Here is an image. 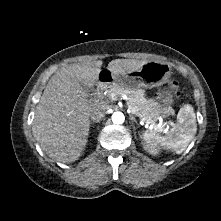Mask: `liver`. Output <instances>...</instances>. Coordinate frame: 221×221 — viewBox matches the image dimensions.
Listing matches in <instances>:
<instances>
[{
	"instance_id": "1",
	"label": "liver",
	"mask_w": 221,
	"mask_h": 221,
	"mask_svg": "<svg viewBox=\"0 0 221 221\" xmlns=\"http://www.w3.org/2000/svg\"><path fill=\"white\" fill-rule=\"evenodd\" d=\"M147 61L115 59L107 70L113 80L136 71ZM101 60L71 64L49 80L36 106L32 133L41 149L54 161L72 163L84 151L90 127L92 105L84 86L93 87L101 73Z\"/></svg>"
}]
</instances>
